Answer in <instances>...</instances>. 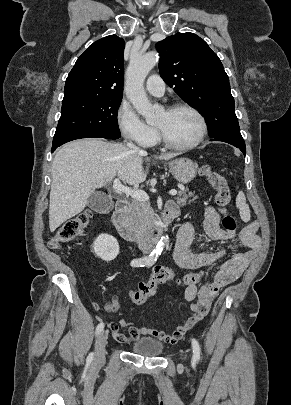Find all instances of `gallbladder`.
Segmentation results:
<instances>
[{
    "label": "gallbladder",
    "mask_w": 291,
    "mask_h": 405,
    "mask_svg": "<svg viewBox=\"0 0 291 405\" xmlns=\"http://www.w3.org/2000/svg\"><path fill=\"white\" fill-rule=\"evenodd\" d=\"M87 206L95 212H108L113 207L112 198L101 192H94L87 200Z\"/></svg>",
    "instance_id": "gallbladder-1"
}]
</instances>
